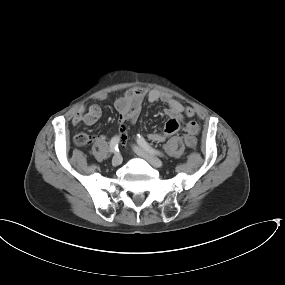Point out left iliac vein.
Instances as JSON below:
<instances>
[{"label":"left iliac vein","mask_w":285,"mask_h":285,"mask_svg":"<svg viewBox=\"0 0 285 285\" xmlns=\"http://www.w3.org/2000/svg\"><path fill=\"white\" fill-rule=\"evenodd\" d=\"M133 150L138 156L147 160L152 166L157 168L162 167L163 165L162 161L159 158H157L154 154L146 150L145 148L141 146H134Z\"/></svg>","instance_id":"4c4485c4"}]
</instances>
